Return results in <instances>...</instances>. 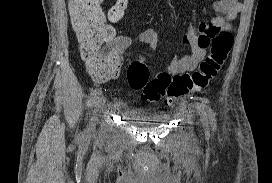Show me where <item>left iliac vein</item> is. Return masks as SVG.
Here are the masks:
<instances>
[{
	"instance_id": "obj_1",
	"label": "left iliac vein",
	"mask_w": 272,
	"mask_h": 183,
	"mask_svg": "<svg viewBox=\"0 0 272 183\" xmlns=\"http://www.w3.org/2000/svg\"><path fill=\"white\" fill-rule=\"evenodd\" d=\"M198 110H199V115H200V117H201V120H202L204 123L207 122V115H206V113H205V111H204V108H203L202 104H199V105H198Z\"/></svg>"
}]
</instances>
